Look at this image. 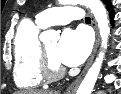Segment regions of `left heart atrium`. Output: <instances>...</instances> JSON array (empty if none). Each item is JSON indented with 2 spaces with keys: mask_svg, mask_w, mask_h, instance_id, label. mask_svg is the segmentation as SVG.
Instances as JSON below:
<instances>
[{
  "mask_svg": "<svg viewBox=\"0 0 121 94\" xmlns=\"http://www.w3.org/2000/svg\"><path fill=\"white\" fill-rule=\"evenodd\" d=\"M89 51L88 35L81 29H67L61 36L55 55L59 63L74 67L84 62Z\"/></svg>",
  "mask_w": 121,
  "mask_h": 94,
  "instance_id": "obj_1",
  "label": "left heart atrium"
}]
</instances>
